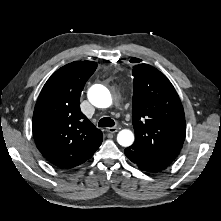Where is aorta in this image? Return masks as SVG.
Returning <instances> with one entry per match:
<instances>
[{"label": "aorta", "instance_id": "1", "mask_svg": "<svg viewBox=\"0 0 221 221\" xmlns=\"http://www.w3.org/2000/svg\"><path fill=\"white\" fill-rule=\"evenodd\" d=\"M88 99L98 108H108L112 105L111 94L103 85H93L88 91ZM117 141L121 146L128 147L134 142V134L127 129L121 130L117 135Z\"/></svg>", "mask_w": 221, "mask_h": 221}]
</instances>
